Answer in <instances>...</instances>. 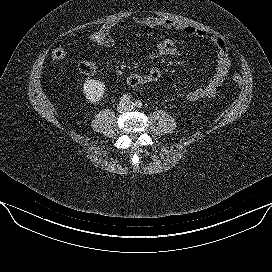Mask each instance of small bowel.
<instances>
[{
	"label": "small bowel",
	"instance_id": "small-bowel-1",
	"mask_svg": "<svg viewBox=\"0 0 272 272\" xmlns=\"http://www.w3.org/2000/svg\"><path fill=\"white\" fill-rule=\"evenodd\" d=\"M134 23L136 25L155 27L158 28L161 32H166L169 30L181 31L188 36L198 37L214 45L217 51V64L215 73L207 81V83L189 90L185 89L181 85L175 84L173 86V91L178 97L185 98L189 101H198L204 98H210L217 93L220 86L224 83L231 65L229 48L224 40L203 29H199L168 18H135ZM115 25L116 23L114 22H108L104 24L101 29L111 33ZM181 55L182 52L176 47V44L172 41V39L163 35L162 38L158 41L156 49L149 52L147 57L149 59H156L164 56L179 57Z\"/></svg>",
	"mask_w": 272,
	"mask_h": 272
}]
</instances>
